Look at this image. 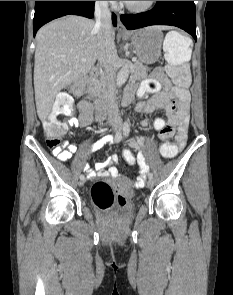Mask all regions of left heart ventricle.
<instances>
[{
	"label": "left heart ventricle",
	"instance_id": "1",
	"mask_svg": "<svg viewBox=\"0 0 233 295\" xmlns=\"http://www.w3.org/2000/svg\"><path fill=\"white\" fill-rule=\"evenodd\" d=\"M148 1H127L128 4L132 6H142L146 4Z\"/></svg>",
	"mask_w": 233,
	"mask_h": 295
}]
</instances>
